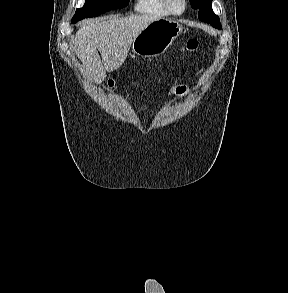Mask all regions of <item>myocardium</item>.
<instances>
[{"label": "myocardium", "instance_id": "f54148a6", "mask_svg": "<svg viewBox=\"0 0 288 293\" xmlns=\"http://www.w3.org/2000/svg\"><path fill=\"white\" fill-rule=\"evenodd\" d=\"M164 6L166 7V9L173 15H181L185 12L186 8H187V0H182L183 3V8L180 11H176L171 3L170 0H162Z\"/></svg>", "mask_w": 288, "mask_h": 293}]
</instances>
